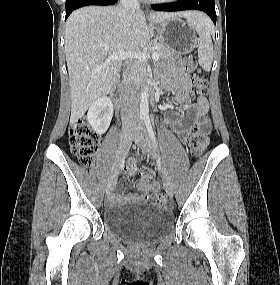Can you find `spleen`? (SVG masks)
<instances>
[{
	"label": "spleen",
	"mask_w": 280,
	"mask_h": 285,
	"mask_svg": "<svg viewBox=\"0 0 280 285\" xmlns=\"http://www.w3.org/2000/svg\"><path fill=\"white\" fill-rule=\"evenodd\" d=\"M189 22L199 35L198 62L205 71H210L214 54L211 39V33L214 31L213 24L205 15Z\"/></svg>",
	"instance_id": "3e777b00"
}]
</instances>
